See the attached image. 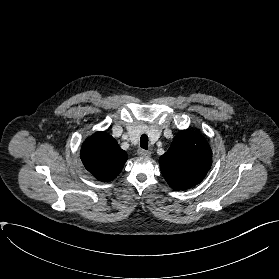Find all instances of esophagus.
I'll use <instances>...</instances> for the list:
<instances>
[{
    "instance_id": "obj_1",
    "label": "esophagus",
    "mask_w": 279,
    "mask_h": 279,
    "mask_svg": "<svg viewBox=\"0 0 279 279\" xmlns=\"http://www.w3.org/2000/svg\"><path fill=\"white\" fill-rule=\"evenodd\" d=\"M138 155L141 157H150L151 156V152L144 150V149H139L138 150Z\"/></svg>"
}]
</instances>
